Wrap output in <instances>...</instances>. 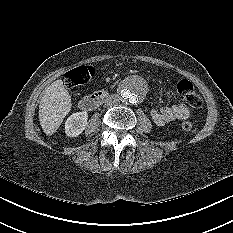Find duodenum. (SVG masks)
Returning <instances> with one entry per match:
<instances>
[{"mask_svg": "<svg viewBox=\"0 0 233 233\" xmlns=\"http://www.w3.org/2000/svg\"><path fill=\"white\" fill-rule=\"evenodd\" d=\"M109 96L107 91H97L90 95L84 96L79 100V107L84 111H92L99 107Z\"/></svg>", "mask_w": 233, "mask_h": 233, "instance_id": "duodenum-1", "label": "duodenum"}]
</instances>
